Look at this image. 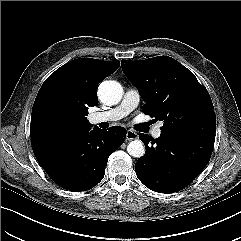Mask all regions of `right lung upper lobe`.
Instances as JSON below:
<instances>
[{"label":"right lung upper lobe","instance_id":"right-lung-upper-lobe-1","mask_svg":"<svg viewBox=\"0 0 241 241\" xmlns=\"http://www.w3.org/2000/svg\"><path fill=\"white\" fill-rule=\"evenodd\" d=\"M119 61H103L91 58L72 60L53 72L43 83L35 99L31 117V143L55 140L89 128L85 116L88 107L98 102V84L114 73ZM61 108L67 120L61 125H51L48 113Z\"/></svg>","mask_w":241,"mask_h":241}]
</instances>
